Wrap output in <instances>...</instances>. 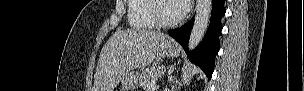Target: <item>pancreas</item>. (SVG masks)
<instances>
[{"instance_id": "obj_1", "label": "pancreas", "mask_w": 304, "mask_h": 91, "mask_svg": "<svg viewBox=\"0 0 304 91\" xmlns=\"http://www.w3.org/2000/svg\"><path fill=\"white\" fill-rule=\"evenodd\" d=\"M164 74V68L163 67H151L143 70L139 74V83L142 88L145 89V91L150 90L149 88L153 86L157 79L161 77Z\"/></svg>"}]
</instances>
